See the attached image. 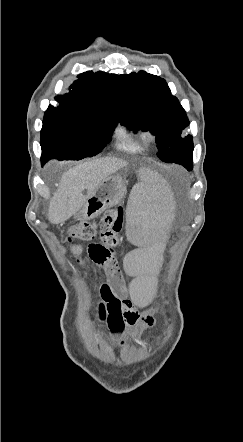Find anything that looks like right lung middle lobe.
<instances>
[{
    "label": "right lung middle lobe",
    "instance_id": "1",
    "mask_svg": "<svg viewBox=\"0 0 243 442\" xmlns=\"http://www.w3.org/2000/svg\"><path fill=\"white\" fill-rule=\"evenodd\" d=\"M116 125L103 117L80 115L66 107L50 105L41 130L42 162L97 155L111 141Z\"/></svg>",
    "mask_w": 243,
    "mask_h": 442
}]
</instances>
